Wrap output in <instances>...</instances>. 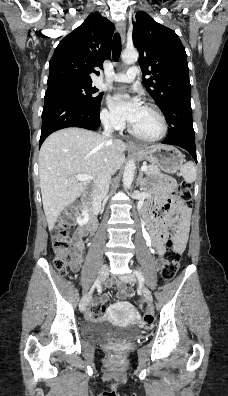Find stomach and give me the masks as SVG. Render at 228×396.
<instances>
[{"label": "stomach", "mask_w": 228, "mask_h": 396, "mask_svg": "<svg viewBox=\"0 0 228 396\" xmlns=\"http://www.w3.org/2000/svg\"><path fill=\"white\" fill-rule=\"evenodd\" d=\"M135 154L140 160H147L170 174L176 173L185 162L183 154L177 148L168 145L136 149Z\"/></svg>", "instance_id": "1"}]
</instances>
